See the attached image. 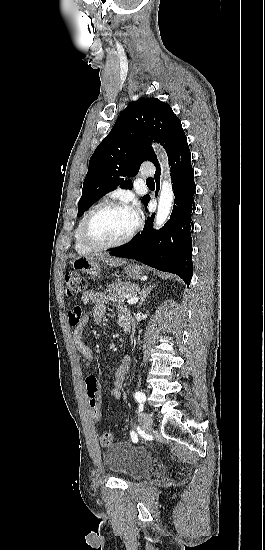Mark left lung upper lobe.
Returning <instances> with one entry per match:
<instances>
[{"label":"left lung upper lobe","instance_id":"obj_1","mask_svg":"<svg viewBox=\"0 0 265 550\" xmlns=\"http://www.w3.org/2000/svg\"><path fill=\"white\" fill-rule=\"evenodd\" d=\"M152 138L166 149L169 158L187 141L180 119L167 103L157 98H140L124 109L91 156L78 217L117 186L131 189V180L124 177L136 175L142 162L151 161L160 168L149 143ZM149 200L148 195L142 198L145 206Z\"/></svg>","mask_w":265,"mask_h":550}]
</instances>
